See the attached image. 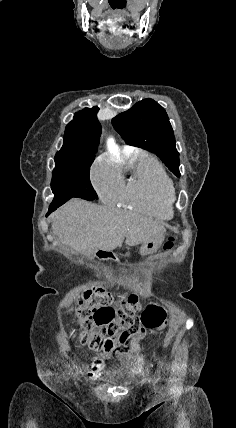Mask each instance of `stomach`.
I'll list each match as a JSON object with an SVG mask.
<instances>
[{"label":"stomach","mask_w":236,"mask_h":428,"mask_svg":"<svg viewBox=\"0 0 236 428\" xmlns=\"http://www.w3.org/2000/svg\"><path fill=\"white\" fill-rule=\"evenodd\" d=\"M163 240H164L163 236H157V238H152V240H148V242H143L140 248L141 256H148V254H155L159 246H161Z\"/></svg>","instance_id":"obj_1"}]
</instances>
